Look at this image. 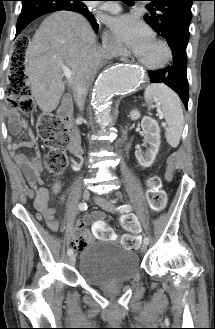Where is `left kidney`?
Here are the masks:
<instances>
[{
  "mask_svg": "<svg viewBox=\"0 0 215 329\" xmlns=\"http://www.w3.org/2000/svg\"><path fill=\"white\" fill-rule=\"evenodd\" d=\"M130 117L132 120H137L140 117V113L137 110H133L130 112ZM141 127L143 132L145 133L144 136V143L149 144V148L145 152L136 150L135 156L142 167L148 168L150 167L159 151L160 146V128L158 123L151 117L144 116L141 121Z\"/></svg>",
  "mask_w": 215,
  "mask_h": 329,
  "instance_id": "left-kidney-1",
  "label": "left kidney"
}]
</instances>
